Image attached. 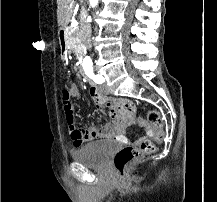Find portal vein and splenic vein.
Masks as SVG:
<instances>
[{"mask_svg": "<svg viewBox=\"0 0 217 202\" xmlns=\"http://www.w3.org/2000/svg\"><path fill=\"white\" fill-rule=\"evenodd\" d=\"M75 26H79L78 22H76Z\"/></svg>", "mask_w": 217, "mask_h": 202, "instance_id": "1", "label": "portal vein and splenic vein"}]
</instances>
